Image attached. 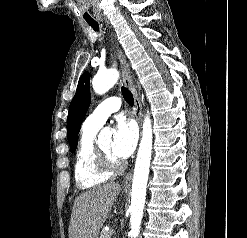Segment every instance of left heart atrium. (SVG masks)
<instances>
[{"label":"left heart atrium","instance_id":"1","mask_svg":"<svg viewBox=\"0 0 247 238\" xmlns=\"http://www.w3.org/2000/svg\"><path fill=\"white\" fill-rule=\"evenodd\" d=\"M138 139L137 127L133 121L119 118L114 127L112 152L118 159L129 157L135 149Z\"/></svg>","mask_w":247,"mask_h":238}]
</instances>
